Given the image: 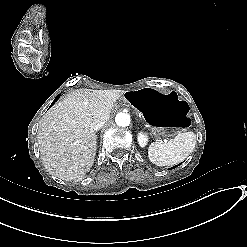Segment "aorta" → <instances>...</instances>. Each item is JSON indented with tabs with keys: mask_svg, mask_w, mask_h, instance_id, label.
I'll use <instances>...</instances> for the list:
<instances>
[{
	"mask_svg": "<svg viewBox=\"0 0 247 247\" xmlns=\"http://www.w3.org/2000/svg\"><path fill=\"white\" fill-rule=\"evenodd\" d=\"M115 122L118 126L126 127L130 124V116L127 113L119 112L115 117Z\"/></svg>",
	"mask_w": 247,
	"mask_h": 247,
	"instance_id": "762f6f07",
	"label": "aorta"
}]
</instances>
